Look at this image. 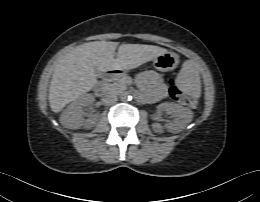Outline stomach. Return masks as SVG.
Segmentation results:
<instances>
[{
	"label": "stomach",
	"mask_w": 260,
	"mask_h": 202,
	"mask_svg": "<svg viewBox=\"0 0 260 202\" xmlns=\"http://www.w3.org/2000/svg\"><path fill=\"white\" fill-rule=\"evenodd\" d=\"M179 56L174 52H165L153 59L154 67L159 71H171L177 67Z\"/></svg>",
	"instance_id": "0dacf381"
}]
</instances>
